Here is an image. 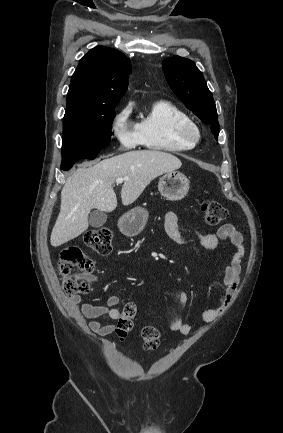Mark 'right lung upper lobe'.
<instances>
[{
    "label": "right lung upper lobe",
    "mask_w": 283,
    "mask_h": 433,
    "mask_svg": "<svg viewBox=\"0 0 283 433\" xmlns=\"http://www.w3.org/2000/svg\"><path fill=\"white\" fill-rule=\"evenodd\" d=\"M130 60L120 51L97 46L79 62L67 94L66 109L114 105L126 93Z\"/></svg>",
    "instance_id": "1"
}]
</instances>
